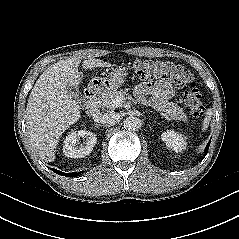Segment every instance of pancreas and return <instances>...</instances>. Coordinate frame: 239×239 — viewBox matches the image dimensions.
<instances>
[{
  "label": "pancreas",
  "instance_id": "cf45deb5",
  "mask_svg": "<svg viewBox=\"0 0 239 239\" xmlns=\"http://www.w3.org/2000/svg\"><path fill=\"white\" fill-rule=\"evenodd\" d=\"M125 95H126V92L123 90L117 91L115 89L109 92H105L101 96L100 103L102 107H105L109 110H114L116 107L113 106L112 100L115 99L116 97L124 98ZM152 107L155 110L159 111L161 114L169 116L170 119H173L176 121H183V122L187 121V116L183 112V109L175 103L161 100L157 104L152 105Z\"/></svg>",
  "mask_w": 239,
  "mask_h": 239
}]
</instances>
